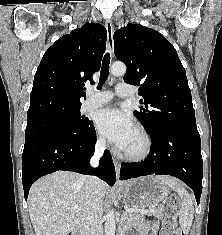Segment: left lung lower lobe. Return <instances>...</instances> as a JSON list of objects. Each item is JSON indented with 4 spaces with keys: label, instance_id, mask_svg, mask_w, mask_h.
<instances>
[{
    "label": "left lung lower lobe",
    "instance_id": "0a47b994",
    "mask_svg": "<svg viewBox=\"0 0 222 235\" xmlns=\"http://www.w3.org/2000/svg\"><path fill=\"white\" fill-rule=\"evenodd\" d=\"M152 146L147 159L122 164L120 180L147 176L172 175L193 191L197 204L202 192L203 160L199 133L182 129H165L151 135Z\"/></svg>",
    "mask_w": 222,
    "mask_h": 235
}]
</instances>
